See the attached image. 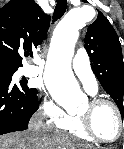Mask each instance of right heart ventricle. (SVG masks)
Here are the masks:
<instances>
[{
	"mask_svg": "<svg viewBox=\"0 0 124 149\" xmlns=\"http://www.w3.org/2000/svg\"><path fill=\"white\" fill-rule=\"evenodd\" d=\"M63 129L81 140L93 141L82 129L78 117H71Z\"/></svg>",
	"mask_w": 124,
	"mask_h": 149,
	"instance_id": "obj_1",
	"label": "right heart ventricle"
}]
</instances>
